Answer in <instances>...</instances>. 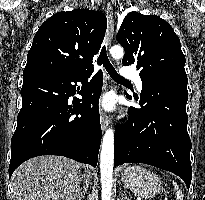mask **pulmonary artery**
Wrapping results in <instances>:
<instances>
[{
  "label": "pulmonary artery",
  "instance_id": "obj_1",
  "mask_svg": "<svg viewBox=\"0 0 205 200\" xmlns=\"http://www.w3.org/2000/svg\"><path fill=\"white\" fill-rule=\"evenodd\" d=\"M120 75L125 79H132L136 84L137 90L140 92L142 91V80L137 71L131 68H122L120 70Z\"/></svg>",
  "mask_w": 205,
  "mask_h": 200
}]
</instances>
